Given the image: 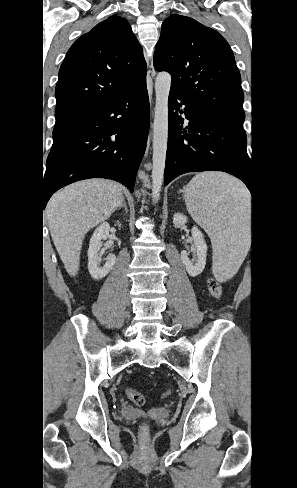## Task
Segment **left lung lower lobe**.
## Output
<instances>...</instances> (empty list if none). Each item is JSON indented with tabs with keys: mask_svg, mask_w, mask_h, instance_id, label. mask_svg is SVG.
I'll use <instances>...</instances> for the list:
<instances>
[{
	"mask_svg": "<svg viewBox=\"0 0 297 488\" xmlns=\"http://www.w3.org/2000/svg\"><path fill=\"white\" fill-rule=\"evenodd\" d=\"M181 101V102H180ZM185 105L184 110L180 107ZM164 184L187 172L216 170L232 174L253 190V171L243 128L210 116L170 91ZM185 114L189 123L183 125Z\"/></svg>",
	"mask_w": 297,
	"mask_h": 488,
	"instance_id": "left-lung-lower-lobe-1",
	"label": "left lung lower lobe"
}]
</instances>
